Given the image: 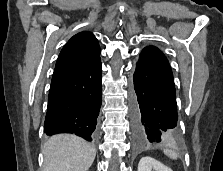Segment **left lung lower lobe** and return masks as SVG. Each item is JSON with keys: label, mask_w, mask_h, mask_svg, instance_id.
I'll return each instance as SVG.
<instances>
[{"label": "left lung lower lobe", "mask_w": 223, "mask_h": 171, "mask_svg": "<svg viewBox=\"0 0 223 171\" xmlns=\"http://www.w3.org/2000/svg\"><path fill=\"white\" fill-rule=\"evenodd\" d=\"M133 135L138 147L179 137L175 85L165 55L145 47L133 74Z\"/></svg>", "instance_id": "left-lung-lower-lobe-1"}]
</instances>
